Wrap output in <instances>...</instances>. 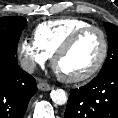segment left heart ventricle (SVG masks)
<instances>
[{"mask_svg": "<svg viewBox=\"0 0 118 118\" xmlns=\"http://www.w3.org/2000/svg\"><path fill=\"white\" fill-rule=\"evenodd\" d=\"M101 53V37L97 32L91 31L59 58L56 69L62 76L66 77L84 74L96 64Z\"/></svg>", "mask_w": 118, "mask_h": 118, "instance_id": "obj_1", "label": "left heart ventricle"}]
</instances>
